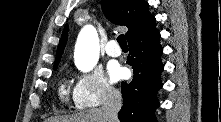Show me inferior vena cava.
<instances>
[{"label": "inferior vena cava", "mask_w": 221, "mask_h": 122, "mask_svg": "<svg viewBox=\"0 0 221 122\" xmlns=\"http://www.w3.org/2000/svg\"><path fill=\"white\" fill-rule=\"evenodd\" d=\"M121 106V93L112 88H105L102 110L107 122H118V112L121 109Z\"/></svg>", "instance_id": "inferior-vena-cava-1"}]
</instances>
